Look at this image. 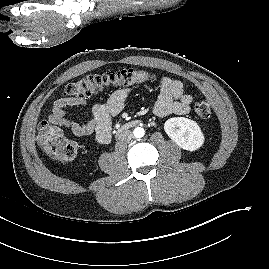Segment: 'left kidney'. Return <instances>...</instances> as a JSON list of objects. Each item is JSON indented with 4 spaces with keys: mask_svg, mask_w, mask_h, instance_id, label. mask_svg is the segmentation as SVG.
Returning a JSON list of instances; mask_svg holds the SVG:
<instances>
[{
    "mask_svg": "<svg viewBox=\"0 0 269 269\" xmlns=\"http://www.w3.org/2000/svg\"><path fill=\"white\" fill-rule=\"evenodd\" d=\"M164 130L184 150L195 151L204 144L205 138L199 125L188 118H170L165 122Z\"/></svg>",
    "mask_w": 269,
    "mask_h": 269,
    "instance_id": "obj_1",
    "label": "left kidney"
}]
</instances>
